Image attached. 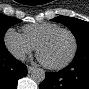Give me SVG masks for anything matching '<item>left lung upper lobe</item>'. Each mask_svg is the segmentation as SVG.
<instances>
[{
	"label": "left lung upper lobe",
	"mask_w": 89,
	"mask_h": 89,
	"mask_svg": "<svg viewBox=\"0 0 89 89\" xmlns=\"http://www.w3.org/2000/svg\"><path fill=\"white\" fill-rule=\"evenodd\" d=\"M67 26L77 41V53L89 50V23L77 18L58 16L53 19Z\"/></svg>",
	"instance_id": "left-lung-upper-lobe-1"
}]
</instances>
